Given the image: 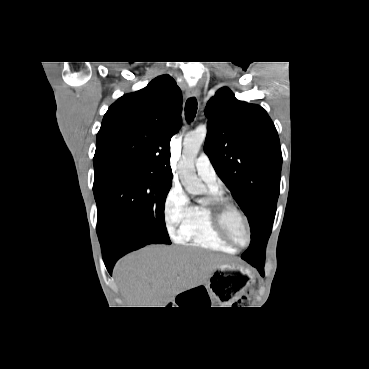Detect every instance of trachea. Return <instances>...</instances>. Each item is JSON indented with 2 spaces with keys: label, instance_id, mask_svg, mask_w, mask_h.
Here are the masks:
<instances>
[{
  "label": "trachea",
  "instance_id": "3493384b",
  "mask_svg": "<svg viewBox=\"0 0 369 369\" xmlns=\"http://www.w3.org/2000/svg\"><path fill=\"white\" fill-rule=\"evenodd\" d=\"M197 112V100L195 97L188 98L185 104V116L188 122L194 120Z\"/></svg>",
  "mask_w": 369,
  "mask_h": 369
}]
</instances>
